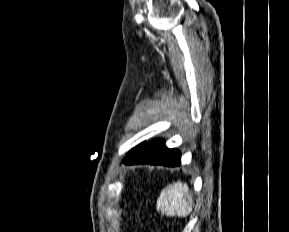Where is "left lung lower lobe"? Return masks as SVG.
<instances>
[{
  "instance_id": "left-lung-lower-lobe-1",
  "label": "left lung lower lobe",
  "mask_w": 289,
  "mask_h": 232,
  "mask_svg": "<svg viewBox=\"0 0 289 232\" xmlns=\"http://www.w3.org/2000/svg\"><path fill=\"white\" fill-rule=\"evenodd\" d=\"M125 164H152L175 167L181 164L180 153L176 149H168L163 140H155L128 160H124Z\"/></svg>"
}]
</instances>
